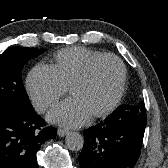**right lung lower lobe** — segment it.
Wrapping results in <instances>:
<instances>
[{"label": "right lung lower lobe", "mask_w": 168, "mask_h": 168, "mask_svg": "<svg viewBox=\"0 0 168 168\" xmlns=\"http://www.w3.org/2000/svg\"><path fill=\"white\" fill-rule=\"evenodd\" d=\"M44 126L34 109L0 105V168H39L37 151L57 135Z\"/></svg>", "instance_id": "1"}]
</instances>
